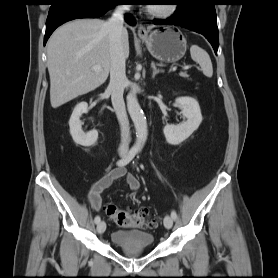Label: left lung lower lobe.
Returning <instances> with one entry per match:
<instances>
[{
	"mask_svg": "<svg viewBox=\"0 0 278 278\" xmlns=\"http://www.w3.org/2000/svg\"><path fill=\"white\" fill-rule=\"evenodd\" d=\"M214 0H185L175 13L164 20H153L157 25H174L202 34L212 45L215 54L219 46Z\"/></svg>",
	"mask_w": 278,
	"mask_h": 278,
	"instance_id": "obj_1",
	"label": "left lung lower lobe"
}]
</instances>
